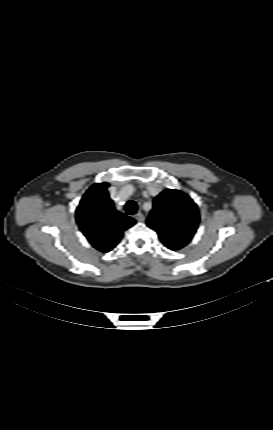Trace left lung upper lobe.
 Instances as JSON below:
<instances>
[{"label": "left lung upper lobe", "mask_w": 273, "mask_h": 430, "mask_svg": "<svg viewBox=\"0 0 273 430\" xmlns=\"http://www.w3.org/2000/svg\"><path fill=\"white\" fill-rule=\"evenodd\" d=\"M198 222V208L193 200L181 191L167 189L155 198L146 224L159 234L167 248L178 250L190 242Z\"/></svg>", "instance_id": "5c2ea615"}]
</instances>
